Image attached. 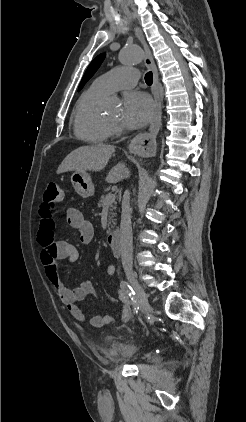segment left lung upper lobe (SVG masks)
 <instances>
[{"mask_svg": "<svg viewBox=\"0 0 246 422\" xmlns=\"http://www.w3.org/2000/svg\"><path fill=\"white\" fill-rule=\"evenodd\" d=\"M105 58V53L98 55L88 66L81 82L79 85V90L83 88L85 83L94 75V73L97 71L101 63L103 62Z\"/></svg>", "mask_w": 246, "mask_h": 422, "instance_id": "obj_1", "label": "left lung upper lobe"}]
</instances>
